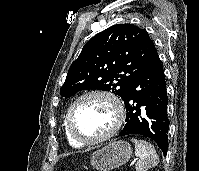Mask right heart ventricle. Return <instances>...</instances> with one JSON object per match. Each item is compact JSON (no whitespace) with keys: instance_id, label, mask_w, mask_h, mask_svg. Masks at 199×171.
Instances as JSON below:
<instances>
[{"instance_id":"right-heart-ventricle-1","label":"right heart ventricle","mask_w":199,"mask_h":171,"mask_svg":"<svg viewBox=\"0 0 199 171\" xmlns=\"http://www.w3.org/2000/svg\"><path fill=\"white\" fill-rule=\"evenodd\" d=\"M66 118V117H65ZM64 133H65V137L68 141V143L72 146V147H81L83 146V144L77 142L74 138H72V136L69 134L68 129H67V124H66V119H64Z\"/></svg>"}]
</instances>
